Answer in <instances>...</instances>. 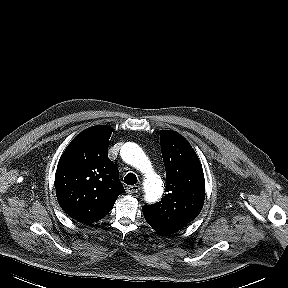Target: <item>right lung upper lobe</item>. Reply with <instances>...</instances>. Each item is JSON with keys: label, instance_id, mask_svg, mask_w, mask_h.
Here are the masks:
<instances>
[{"label": "right lung upper lobe", "instance_id": "1", "mask_svg": "<svg viewBox=\"0 0 288 288\" xmlns=\"http://www.w3.org/2000/svg\"><path fill=\"white\" fill-rule=\"evenodd\" d=\"M108 126L77 135L61 156L55 188L61 208L73 219L91 224L104 218L124 192L117 166L108 158Z\"/></svg>", "mask_w": 288, "mask_h": 288}]
</instances>
